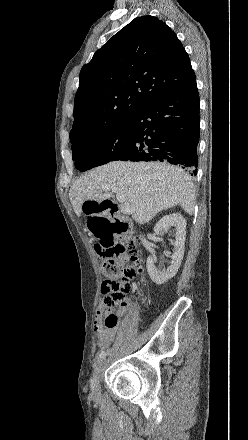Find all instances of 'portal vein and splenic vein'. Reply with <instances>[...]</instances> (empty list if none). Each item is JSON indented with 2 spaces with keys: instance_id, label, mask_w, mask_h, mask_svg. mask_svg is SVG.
Listing matches in <instances>:
<instances>
[{
  "instance_id": "portal-vein-and-splenic-vein-1",
  "label": "portal vein and splenic vein",
  "mask_w": 248,
  "mask_h": 440,
  "mask_svg": "<svg viewBox=\"0 0 248 440\" xmlns=\"http://www.w3.org/2000/svg\"><path fill=\"white\" fill-rule=\"evenodd\" d=\"M106 190H111L112 192L117 193V200L121 203V212L124 214H131L133 209L129 206V204H125L124 197L118 193L117 188H106Z\"/></svg>"
}]
</instances>
